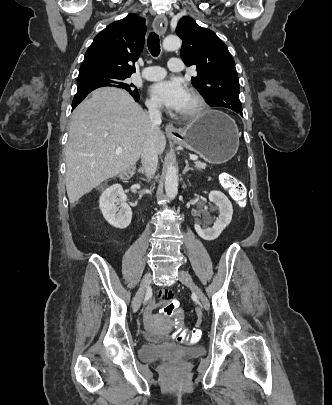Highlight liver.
<instances>
[{
	"mask_svg": "<svg viewBox=\"0 0 332 405\" xmlns=\"http://www.w3.org/2000/svg\"><path fill=\"white\" fill-rule=\"evenodd\" d=\"M150 132L161 155L166 147L164 133L159 127L152 130L148 115L128 92L113 87L94 90L71 116L65 148L70 203L134 166ZM118 147L120 154L115 153Z\"/></svg>",
	"mask_w": 332,
	"mask_h": 405,
	"instance_id": "1",
	"label": "liver"
}]
</instances>
